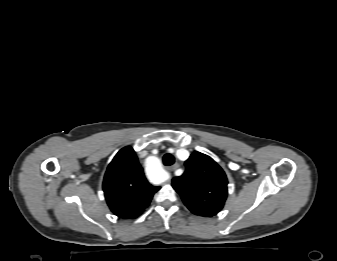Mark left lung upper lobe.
I'll use <instances>...</instances> for the list:
<instances>
[{"label": "left lung upper lobe", "mask_w": 337, "mask_h": 261, "mask_svg": "<svg viewBox=\"0 0 337 261\" xmlns=\"http://www.w3.org/2000/svg\"><path fill=\"white\" fill-rule=\"evenodd\" d=\"M186 170L172 180L173 188L195 215L212 217L224 206L227 178L222 168L209 156L194 152L185 162Z\"/></svg>", "instance_id": "1"}]
</instances>
